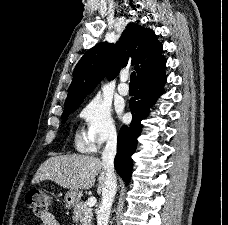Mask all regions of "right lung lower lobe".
Listing matches in <instances>:
<instances>
[{"label":"right lung lower lobe","instance_id":"obj_1","mask_svg":"<svg viewBox=\"0 0 228 225\" xmlns=\"http://www.w3.org/2000/svg\"><path fill=\"white\" fill-rule=\"evenodd\" d=\"M165 65L166 60L162 55L138 74V91L129 102L133 119L130 126H123L118 134L114 166L126 185L130 182L133 167L131 156L135 152L137 138L142 129L140 121L146 118L149 107L153 106L163 93V85L166 82Z\"/></svg>","mask_w":228,"mask_h":225}]
</instances>
